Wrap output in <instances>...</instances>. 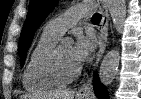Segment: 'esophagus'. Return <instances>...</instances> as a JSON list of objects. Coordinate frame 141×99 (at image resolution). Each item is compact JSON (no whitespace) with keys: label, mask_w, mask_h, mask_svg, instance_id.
Wrapping results in <instances>:
<instances>
[{"label":"esophagus","mask_w":141,"mask_h":99,"mask_svg":"<svg viewBox=\"0 0 141 99\" xmlns=\"http://www.w3.org/2000/svg\"><path fill=\"white\" fill-rule=\"evenodd\" d=\"M97 4L102 14V19L98 28V40H99V48L96 53L95 60V68L98 66L100 60L103 57V54L106 50V46L108 43V23H109V12L104 0H97ZM93 86H92V77H88L80 86L78 90V95L80 96H89L92 94Z\"/></svg>","instance_id":"1"}]
</instances>
